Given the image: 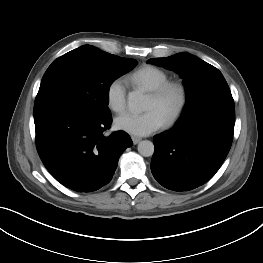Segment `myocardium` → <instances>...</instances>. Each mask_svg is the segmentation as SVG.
<instances>
[{"instance_id":"f54148a6","label":"myocardium","mask_w":263,"mask_h":263,"mask_svg":"<svg viewBox=\"0 0 263 263\" xmlns=\"http://www.w3.org/2000/svg\"><path fill=\"white\" fill-rule=\"evenodd\" d=\"M150 95L159 102L165 101L172 95L176 97L174 107L164 119L166 125L173 124L182 115L188 102V89L186 85L180 81H167L150 91Z\"/></svg>"}]
</instances>
